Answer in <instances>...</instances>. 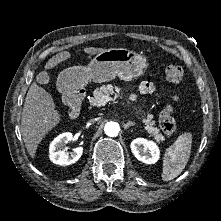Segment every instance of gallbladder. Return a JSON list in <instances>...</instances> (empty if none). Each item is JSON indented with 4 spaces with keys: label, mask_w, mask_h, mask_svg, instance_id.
<instances>
[{
    "label": "gallbladder",
    "mask_w": 221,
    "mask_h": 221,
    "mask_svg": "<svg viewBox=\"0 0 221 221\" xmlns=\"http://www.w3.org/2000/svg\"><path fill=\"white\" fill-rule=\"evenodd\" d=\"M49 80H50V77L49 75L47 74V72H40L38 74V77H37V82L40 83V84H48L49 83Z\"/></svg>",
    "instance_id": "gallbladder-1"
}]
</instances>
